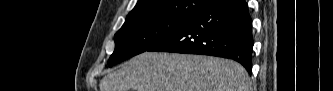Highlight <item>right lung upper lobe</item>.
<instances>
[{
    "label": "right lung upper lobe",
    "instance_id": "1",
    "mask_svg": "<svg viewBox=\"0 0 333 91\" xmlns=\"http://www.w3.org/2000/svg\"><path fill=\"white\" fill-rule=\"evenodd\" d=\"M205 0H138L134 9L128 14L126 21L133 18L170 15L195 17L205 7Z\"/></svg>",
    "mask_w": 333,
    "mask_h": 91
}]
</instances>
